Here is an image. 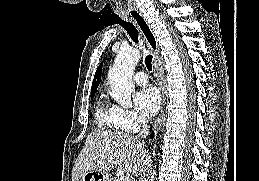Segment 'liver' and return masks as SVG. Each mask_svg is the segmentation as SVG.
<instances>
[{
  "label": "liver",
  "mask_w": 259,
  "mask_h": 181,
  "mask_svg": "<svg viewBox=\"0 0 259 181\" xmlns=\"http://www.w3.org/2000/svg\"><path fill=\"white\" fill-rule=\"evenodd\" d=\"M148 162L149 154L138 138L117 130H98L87 136L75 161L72 181H80L94 169L108 172L118 168L139 176Z\"/></svg>",
  "instance_id": "6515ba94"
}]
</instances>
